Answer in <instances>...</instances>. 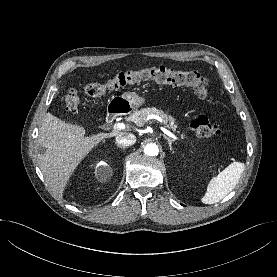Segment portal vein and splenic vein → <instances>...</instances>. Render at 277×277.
I'll list each match as a JSON object with an SVG mask.
<instances>
[{"instance_id":"18ae733b","label":"portal vein and splenic vein","mask_w":277,"mask_h":277,"mask_svg":"<svg viewBox=\"0 0 277 277\" xmlns=\"http://www.w3.org/2000/svg\"><path fill=\"white\" fill-rule=\"evenodd\" d=\"M113 128H114V130H123V129L126 128V126H125V124H123V123H116V124H114ZM161 130H162L166 135H168L169 137H171V138H173V139H175V140L177 139V137H176L172 132H170L169 130H167L166 128L161 127Z\"/></svg>"}]
</instances>
